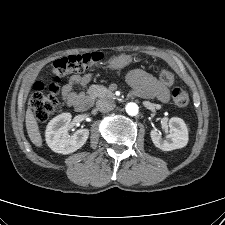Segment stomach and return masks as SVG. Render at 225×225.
Instances as JSON below:
<instances>
[{
  "mask_svg": "<svg viewBox=\"0 0 225 225\" xmlns=\"http://www.w3.org/2000/svg\"><path fill=\"white\" fill-rule=\"evenodd\" d=\"M130 63H131V58L127 55L122 54L120 56L114 57L110 61L109 68L115 69V70L116 69H122Z\"/></svg>",
  "mask_w": 225,
  "mask_h": 225,
  "instance_id": "0dacf381",
  "label": "stomach"
}]
</instances>
